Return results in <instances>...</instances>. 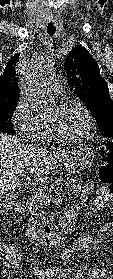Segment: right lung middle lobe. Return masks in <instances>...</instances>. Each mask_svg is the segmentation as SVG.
<instances>
[{"mask_svg": "<svg viewBox=\"0 0 113 279\" xmlns=\"http://www.w3.org/2000/svg\"><path fill=\"white\" fill-rule=\"evenodd\" d=\"M16 106L0 109V132L15 135L11 122Z\"/></svg>", "mask_w": 113, "mask_h": 279, "instance_id": "obj_1", "label": "right lung middle lobe"}]
</instances>
